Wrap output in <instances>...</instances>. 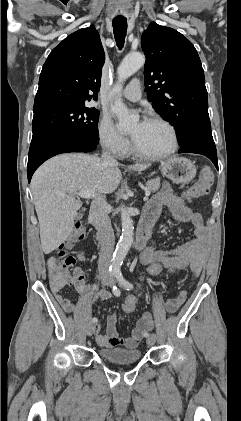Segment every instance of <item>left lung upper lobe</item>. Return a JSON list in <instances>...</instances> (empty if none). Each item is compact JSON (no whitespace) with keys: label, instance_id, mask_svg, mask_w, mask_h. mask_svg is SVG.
<instances>
[{"label":"left lung upper lobe","instance_id":"5c2ea615","mask_svg":"<svg viewBox=\"0 0 241 421\" xmlns=\"http://www.w3.org/2000/svg\"><path fill=\"white\" fill-rule=\"evenodd\" d=\"M141 41L148 100L174 126L180 146L211 130L204 71L193 44L155 22L143 32Z\"/></svg>","mask_w":241,"mask_h":421}]
</instances>
